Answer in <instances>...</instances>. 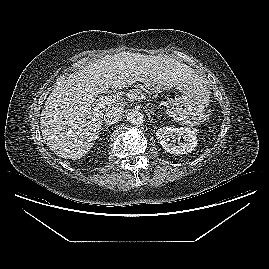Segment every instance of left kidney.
<instances>
[{"label": "left kidney", "mask_w": 269, "mask_h": 269, "mask_svg": "<svg viewBox=\"0 0 269 269\" xmlns=\"http://www.w3.org/2000/svg\"><path fill=\"white\" fill-rule=\"evenodd\" d=\"M175 135L182 137L183 142L173 144L170 142V138ZM156 137L161 146L168 152L173 154H185L191 152L197 146V136L194 130L190 128L180 127H163L157 130Z\"/></svg>", "instance_id": "obj_1"}]
</instances>
